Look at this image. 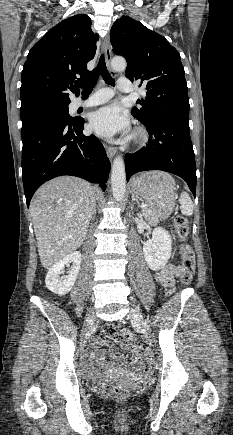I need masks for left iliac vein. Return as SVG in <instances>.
Wrapping results in <instances>:
<instances>
[{
	"label": "left iliac vein",
	"instance_id": "obj_1",
	"mask_svg": "<svg viewBox=\"0 0 233 435\" xmlns=\"http://www.w3.org/2000/svg\"><path fill=\"white\" fill-rule=\"evenodd\" d=\"M128 319L132 322H139L143 328L146 329V331L148 333H150V328L146 322V320L144 319V317L142 316V314L136 310V309H131L129 315H128Z\"/></svg>",
	"mask_w": 233,
	"mask_h": 435
}]
</instances>
